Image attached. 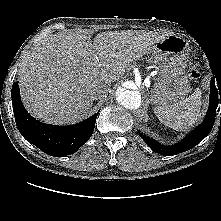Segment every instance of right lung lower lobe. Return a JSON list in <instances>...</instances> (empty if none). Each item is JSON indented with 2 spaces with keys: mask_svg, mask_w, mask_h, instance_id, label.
<instances>
[{
  "mask_svg": "<svg viewBox=\"0 0 221 221\" xmlns=\"http://www.w3.org/2000/svg\"><path fill=\"white\" fill-rule=\"evenodd\" d=\"M11 96L16 125L21 135L48 155L62 157L75 153L94 131L99 111L76 125H50L36 120L27 112L16 82L13 83Z\"/></svg>",
  "mask_w": 221,
  "mask_h": 221,
  "instance_id": "1",
  "label": "right lung lower lobe"
}]
</instances>
